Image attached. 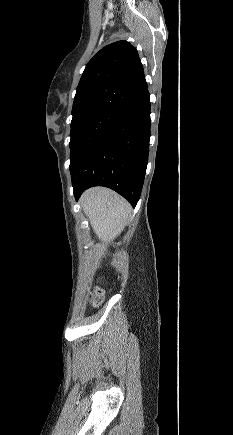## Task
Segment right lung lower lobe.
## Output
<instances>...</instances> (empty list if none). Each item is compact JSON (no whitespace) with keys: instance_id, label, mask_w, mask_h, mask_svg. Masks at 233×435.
<instances>
[{"instance_id":"1","label":"right lung lower lobe","mask_w":233,"mask_h":435,"mask_svg":"<svg viewBox=\"0 0 233 435\" xmlns=\"http://www.w3.org/2000/svg\"><path fill=\"white\" fill-rule=\"evenodd\" d=\"M150 122L147 93L93 145L71 172L76 200L89 187L105 186L136 206L148 163Z\"/></svg>"}]
</instances>
